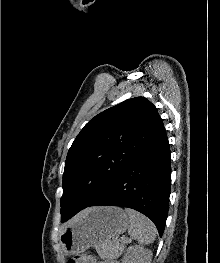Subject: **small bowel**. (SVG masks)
Returning <instances> with one entry per match:
<instances>
[{
    "mask_svg": "<svg viewBox=\"0 0 220 263\" xmlns=\"http://www.w3.org/2000/svg\"><path fill=\"white\" fill-rule=\"evenodd\" d=\"M83 263H99L96 261V259L92 256H88L84 261ZM111 263H114V262H111Z\"/></svg>",
    "mask_w": 220,
    "mask_h": 263,
    "instance_id": "c3829d8e",
    "label": "small bowel"
}]
</instances>
